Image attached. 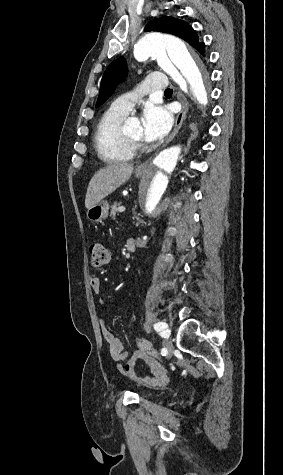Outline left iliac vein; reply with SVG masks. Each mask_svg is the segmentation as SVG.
<instances>
[{"label": "left iliac vein", "mask_w": 283, "mask_h": 475, "mask_svg": "<svg viewBox=\"0 0 283 475\" xmlns=\"http://www.w3.org/2000/svg\"><path fill=\"white\" fill-rule=\"evenodd\" d=\"M170 332H171V331H170V328H169V327H167L166 329H164V331H163V333L165 334L164 337H168V336L170 335ZM163 343H164L165 348H166V349L168 350V352H169V356H168V357H170V354L172 353V350H173V347H172V345H171V342L166 339V340L163 341Z\"/></svg>", "instance_id": "obj_1"}]
</instances>
